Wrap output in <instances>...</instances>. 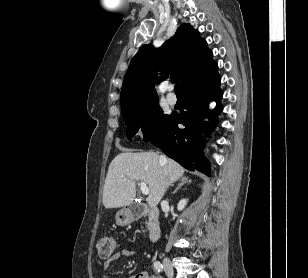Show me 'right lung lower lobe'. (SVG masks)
Instances as JSON below:
<instances>
[{"label":"right lung lower lobe","mask_w":308,"mask_h":278,"mask_svg":"<svg viewBox=\"0 0 308 278\" xmlns=\"http://www.w3.org/2000/svg\"><path fill=\"white\" fill-rule=\"evenodd\" d=\"M222 95L218 72L203 79L184 92V108L187 111L179 115L172 114L163 131L150 141L183 167L209 176V165L202 154L204 138L201 132L206 133L210 128L216 127L215 117L223 109L220 103ZM212 100L216 101L217 105L210 111L207 105ZM202 118H209L210 121L205 123ZM178 124L184 125L185 128L179 129Z\"/></svg>","instance_id":"1"}]
</instances>
